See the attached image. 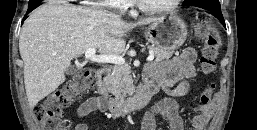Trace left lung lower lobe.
<instances>
[{
    "mask_svg": "<svg viewBox=\"0 0 257 130\" xmlns=\"http://www.w3.org/2000/svg\"><path fill=\"white\" fill-rule=\"evenodd\" d=\"M203 8L210 11L211 14L214 15L215 17L219 18L225 26V21H224L223 15L221 13L220 6H205Z\"/></svg>",
    "mask_w": 257,
    "mask_h": 130,
    "instance_id": "obj_1",
    "label": "left lung lower lobe"
}]
</instances>
